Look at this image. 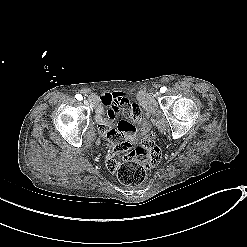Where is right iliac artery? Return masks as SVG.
Masks as SVG:
<instances>
[{
	"label": "right iliac artery",
	"instance_id": "right-iliac-artery-1",
	"mask_svg": "<svg viewBox=\"0 0 247 247\" xmlns=\"http://www.w3.org/2000/svg\"><path fill=\"white\" fill-rule=\"evenodd\" d=\"M76 99H78V100H82L83 99V97H82V95L81 94H76Z\"/></svg>",
	"mask_w": 247,
	"mask_h": 247
}]
</instances>
